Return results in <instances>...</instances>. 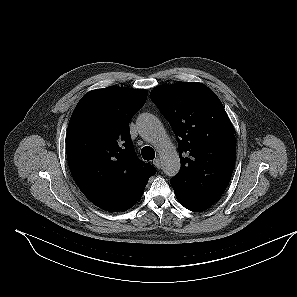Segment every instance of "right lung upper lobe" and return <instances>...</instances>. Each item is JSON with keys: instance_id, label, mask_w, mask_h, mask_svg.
Segmentation results:
<instances>
[{"instance_id": "right-lung-upper-lobe-1", "label": "right lung upper lobe", "mask_w": 297, "mask_h": 297, "mask_svg": "<svg viewBox=\"0 0 297 297\" xmlns=\"http://www.w3.org/2000/svg\"><path fill=\"white\" fill-rule=\"evenodd\" d=\"M143 89L110 86L85 94L66 134L71 174L82 193L108 212L130 209L156 169L135 154L129 122L144 105Z\"/></svg>"}]
</instances>
